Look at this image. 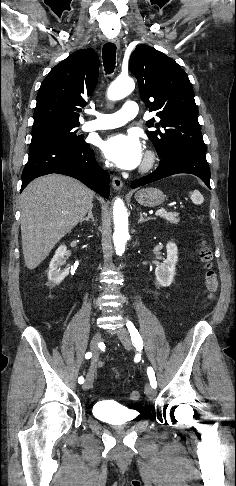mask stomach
Returning <instances> with one entry per match:
<instances>
[{
	"mask_svg": "<svg viewBox=\"0 0 236 486\" xmlns=\"http://www.w3.org/2000/svg\"><path fill=\"white\" fill-rule=\"evenodd\" d=\"M135 199L142 206L156 207L164 202L165 195L160 189L149 187L140 189L135 194Z\"/></svg>",
	"mask_w": 236,
	"mask_h": 486,
	"instance_id": "stomach-1",
	"label": "stomach"
}]
</instances>
